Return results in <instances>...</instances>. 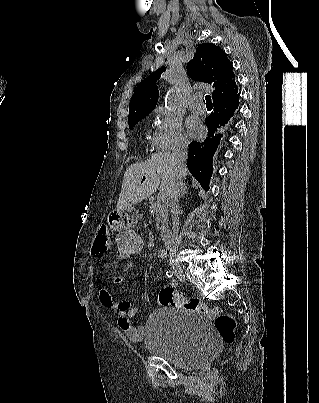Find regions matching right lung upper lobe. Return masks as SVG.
<instances>
[{"instance_id": "cb5924a9", "label": "right lung upper lobe", "mask_w": 319, "mask_h": 403, "mask_svg": "<svg viewBox=\"0 0 319 403\" xmlns=\"http://www.w3.org/2000/svg\"><path fill=\"white\" fill-rule=\"evenodd\" d=\"M165 70V67L158 69L137 86L130 101L128 121L148 115L155 108L159 95L155 82ZM187 73L193 80L213 85L214 101L237 91L232 63L221 48L211 43L197 46L193 59L187 64Z\"/></svg>"}]
</instances>
